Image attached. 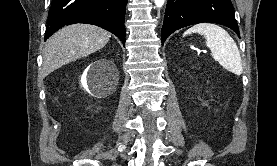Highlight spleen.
Listing matches in <instances>:
<instances>
[{"label":"spleen","mask_w":277,"mask_h":166,"mask_svg":"<svg viewBox=\"0 0 277 166\" xmlns=\"http://www.w3.org/2000/svg\"><path fill=\"white\" fill-rule=\"evenodd\" d=\"M192 33H198L206 39V46L210 49L212 57L228 71L240 75L242 73V62L239 49L222 27L213 23H199L183 34V37Z\"/></svg>","instance_id":"3e777b00"}]
</instances>
